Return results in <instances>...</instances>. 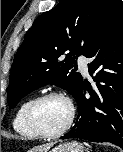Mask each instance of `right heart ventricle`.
Listing matches in <instances>:
<instances>
[{
    "mask_svg": "<svg viewBox=\"0 0 123 152\" xmlns=\"http://www.w3.org/2000/svg\"><path fill=\"white\" fill-rule=\"evenodd\" d=\"M34 100L35 98H28L23 101L16 110L12 121L15 132L26 139H36L39 137L30 129L27 123V112Z\"/></svg>",
    "mask_w": 123,
    "mask_h": 152,
    "instance_id": "e07e8e85",
    "label": "right heart ventricle"
}]
</instances>
